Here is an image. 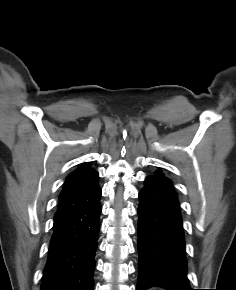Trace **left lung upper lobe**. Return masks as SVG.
I'll use <instances>...</instances> for the list:
<instances>
[{"label":"left lung upper lobe","instance_id":"5c2ea615","mask_svg":"<svg viewBox=\"0 0 236 290\" xmlns=\"http://www.w3.org/2000/svg\"><path fill=\"white\" fill-rule=\"evenodd\" d=\"M156 174L163 176V174L161 173V171H157Z\"/></svg>","mask_w":236,"mask_h":290}]
</instances>
